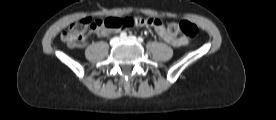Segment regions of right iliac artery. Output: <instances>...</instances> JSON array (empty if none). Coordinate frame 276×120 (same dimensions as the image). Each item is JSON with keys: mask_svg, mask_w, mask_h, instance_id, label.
Segmentation results:
<instances>
[{"mask_svg": "<svg viewBox=\"0 0 276 120\" xmlns=\"http://www.w3.org/2000/svg\"><path fill=\"white\" fill-rule=\"evenodd\" d=\"M126 36H127L126 32H121V33H120V37H121V38H125Z\"/></svg>", "mask_w": 276, "mask_h": 120, "instance_id": "1", "label": "right iliac artery"}]
</instances>
